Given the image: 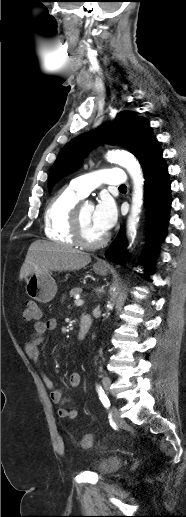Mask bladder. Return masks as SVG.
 I'll return each mask as SVG.
<instances>
[{"instance_id": "31cf9c89", "label": "bladder", "mask_w": 186, "mask_h": 517, "mask_svg": "<svg viewBox=\"0 0 186 517\" xmlns=\"http://www.w3.org/2000/svg\"><path fill=\"white\" fill-rule=\"evenodd\" d=\"M122 463L123 461L120 457H108L100 463L98 472L103 475L110 474L119 469Z\"/></svg>"}]
</instances>
